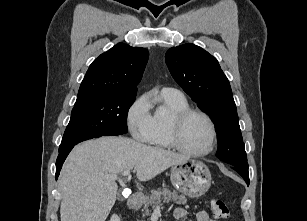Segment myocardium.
I'll return each mask as SVG.
<instances>
[{"label": "myocardium", "mask_w": 307, "mask_h": 221, "mask_svg": "<svg viewBox=\"0 0 307 221\" xmlns=\"http://www.w3.org/2000/svg\"><path fill=\"white\" fill-rule=\"evenodd\" d=\"M193 115H199L203 117L210 126L211 143H210L209 148L203 152L190 151L187 148H185L181 142V135H182L183 127L186 121ZM217 139H218V132H217V128H216V124L214 120L211 118L209 114H207L206 112L202 110L188 108V109L178 112L173 117L172 124H171V131H170V141H171L172 147H174L177 151L187 156H190V157H204V156L211 154L214 151L217 145Z\"/></svg>", "instance_id": "obj_1"}]
</instances>
